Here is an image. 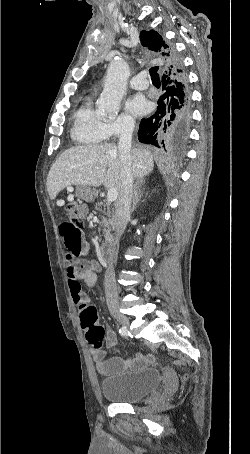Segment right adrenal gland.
Listing matches in <instances>:
<instances>
[{"label": "right adrenal gland", "instance_id": "obj_1", "mask_svg": "<svg viewBox=\"0 0 250 454\" xmlns=\"http://www.w3.org/2000/svg\"><path fill=\"white\" fill-rule=\"evenodd\" d=\"M145 181L143 179H140L136 181L134 185V191H133V202H132V208L131 211L134 212L137 203L140 201V199L143 196V193L141 192V186L143 185Z\"/></svg>", "mask_w": 250, "mask_h": 454}]
</instances>
